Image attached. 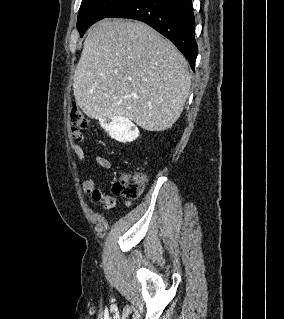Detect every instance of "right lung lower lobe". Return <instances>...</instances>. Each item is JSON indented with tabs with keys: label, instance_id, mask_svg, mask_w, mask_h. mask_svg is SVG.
Here are the masks:
<instances>
[{
	"label": "right lung lower lobe",
	"instance_id": "98d812e1",
	"mask_svg": "<svg viewBox=\"0 0 284 319\" xmlns=\"http://www.w3.org/2000/svg\"><path fill=\"white\" fill-rule=\"evenodd\" d=\"M108 17L147 23L182 52L194 71L198 48L191 0H131Z\"/></svg>",
	"mask_w": 284,
	"mask_h": 319
}]
</instances>
